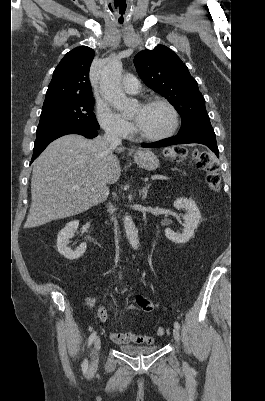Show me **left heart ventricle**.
Returning a JSON list of instances; mask_svg holds the SVG:
<instances>
[{
    "instance_id": "b2bd125f",
    "label": "left heart ventricle",
    "mask_w": 265,
    "mask_h": 401,
    "mask_svg": "<svg viewBox=\"0 0 265 401\" xmlns=\"http://www.w3.org/2000/svg\"><path fill=\"white\" fill-rule=\"evenodd\" d=\"M133 118L139 135H157L166 130L172 121L170 111L159 104L138 106Z\"/></svg>"
}]
</instances>
